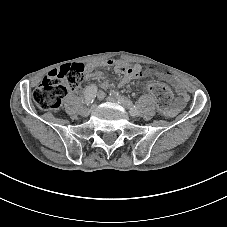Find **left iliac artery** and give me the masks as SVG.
<instances>
[{
    "label": "left iliac artery",
    "mask_w": 227,
    "mask_h": 227,
    "mask_svg": "<svg viewBox=\"0 0 227 227\" xmlns=\"http://www.w3.org/2000/svg\"><path fill=\"white\" fill-rule=\"evenodd\" d=\"M110 95L118 97L119 101L124 103L125 106L130 109V113L132 115H138L139 114V109H138L137 105L132 104V102L130 100H128L124 97H120L118 92L113 90V91L110 92Z\"/></svg>",
    "instance_id": "1"
}]
</instances>
